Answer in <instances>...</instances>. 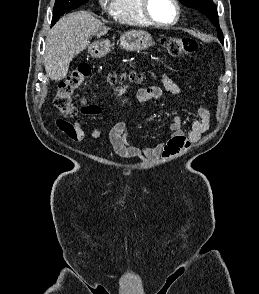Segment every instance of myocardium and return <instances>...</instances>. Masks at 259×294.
Instances as JSON below:
<instances>
[{"label":"myocardium","instance_id":"obj_1","mask_svg":"<svg viewBox=\"0 0 259 294\" xmlns=\"http://www.w3.org/2000/svg\"><path fill=\"white\" fill-rule=\"evenodd\" d=\"M171 1L175 7L176 14L173 21L169 23L159 22L152 16V14L150 13V8H149L150 0H141V13L144 16V18L153 26L160 27V28L172 27L178 23L181 16V9H180L178 0H171Z\"/></svg>","mask_w":259,"mask_h":294}]
</instances>
